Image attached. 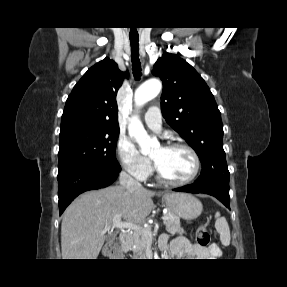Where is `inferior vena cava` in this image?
<instances>
[{"label":"inferior vena cava","mask_w":287,"mask_h":287,"mask_svg":"<svg viewBox=\"0 0 287 287\" xmlns=\"http://www.w3.org/2000/svg\"><path fill=\"white\" fill-rule=\"evenodd\" d=\"M119 182L121 186H124L126 189L130 191L143 188L139 181L133 179L126 172L120 173Z\"/></svg>","instance_id":"obj_1"}]
</instances>
